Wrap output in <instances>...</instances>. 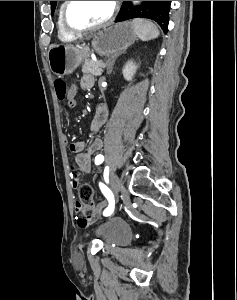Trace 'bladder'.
I'll list each match as a JSON object with an SVG mask.
<instances>
[{"mask_svg": "<svg viewBox=\"0 0 237 300\" xmlns=\"http://www.w3.org/2000/svg\"><path fill=\"white\" fill-rule=\"evenodd\" d=\"M93 232L105 245H122L131 237V230L127 223L117 218L98 223Z\"/></svg>", "mask_w": 237, "mask_h": 300, "instance_id": "obj_1", "label": "bladder"}]
</instances>
